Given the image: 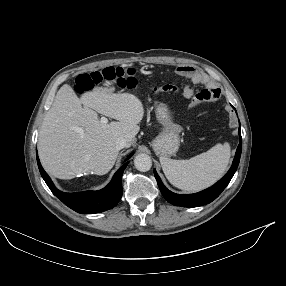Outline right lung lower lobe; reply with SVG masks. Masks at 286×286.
Segmentation results:
<instances>
[{
    "mask_svg": "<svg viewBox=\"0 0 286 286\" xmlns=\"http://www.w3.org/2000/svg\"><path fill=\"white\" fill-rule=\"evenodd\" d=\"M37 163L41 176L52 193L65 205L78 213L93 214L109 210L113 208L122 197V174L128 162L124 163L118 169L111 182L102 190L78 193H63L59 191L42 168L38 155Z\"/></svg>",
    "mask_w": 286,
    "mask_h": 286,
    "instance_id": "98d812e1",
    "label": "right lung lower lobe"
}]
</instances>
